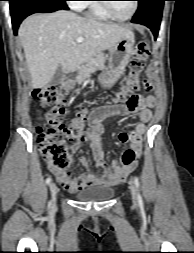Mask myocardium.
<instances>
[{
	"label": "myocardium",
	"instance_id": "f54148a6",
	"mask_svg": "<svg viewBox=\"0 0 194 253\" xmlns=\"http://www.w3.org/2000/svg\"><path fill=\"white\" fill-rule=\"evenodd\" d=\"M99 4L102 7V9L109 15V17L111 19H114V20L119 21V22H125V21H128V20L132 19L133 16L135 15V13L137 12V9H138V2H137V0H134L133 1V9H132L131 13L127 17H119L112 11L111 7L109 6V3L102 2V3H99Z\"/></svg>",
	"mask_w": 194,
	"mask_h": 253
}]
</instances>
